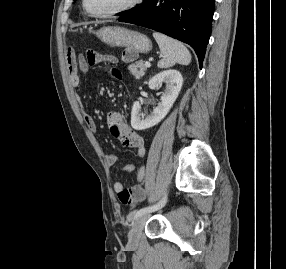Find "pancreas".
<instances>
[{
    "label": "pancreas",
    "mask_w": 286,
    "mask_h": 269,
    "mask_svg": "<svg viewBox=\"0 0 286 269\" xmlns=\"http://www.w3.org/2000/svg\"><path fill=\"white\" fill-rule=\"evenodd\" d=\"M128 68L130 73L135 76L136 79H141L147 70V67L142 60L137 61L135 64L129 65Z\"/></svg>",
    "instance_id": "pancreas-1"
}]
</instances>
